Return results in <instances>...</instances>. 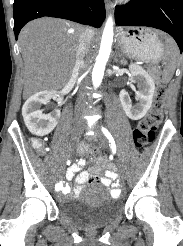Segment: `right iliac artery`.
<instances>
[{"label": "right iliac artery", "mask_w": 183, "mask_h": 246, "mask_svg": "<svg viewBox=\"0 0 183 246\" xmlns=\"http://www.w3.org/2000/svg\"><path fill=\"white\" fill-rule=\"evenodd\" d=\"M60 187L58 184H56L55 189L58 190Z\"/></svg>", "instance_id": "1"}]
</instances>
